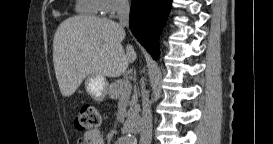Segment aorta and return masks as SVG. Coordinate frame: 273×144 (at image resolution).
I'll return each mask as SVG.
<instances>
[{
	"label": "aorta",
	"mask_w": 273,
	"mask_h": 144,
	"mask_svg": "<svg viewBox=\"0 0 273 144\" xmlns=\"http://www.w3.org/2000/svg\"><path fill=\"white\" fill-rule=\"evenodd\" d=\"M123 142H124L123 144H132L133 138L132 137H126V138H124Z\"/></svg>",
	"instance_id": "aorta-1"
}]
</instances>
